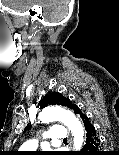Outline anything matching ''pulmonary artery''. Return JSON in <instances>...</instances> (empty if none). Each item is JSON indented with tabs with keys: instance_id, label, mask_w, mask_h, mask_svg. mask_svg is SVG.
<instances>
[{
	"instance_id": "1",
	"label": "pulmonary artery",
	"mask_w": 119,
	"mask_h": 155,
	"mask_svg": "<svg viewBox=\"0 0 119 155\" xmlns=\"http://www.w3.org/2000/svg\"><path fill=\"white\" fill-rule=\"evenodd\" d=\"M67 137V130L63 126H54L46 131L43 135V138L48 142H60L66 139ZM38 146V140L32 139L25 142L22 145V149L25 150H34Z\"/></svg>"
}]
</instances>
